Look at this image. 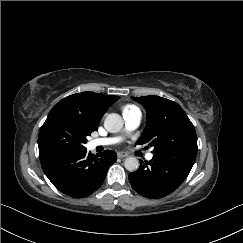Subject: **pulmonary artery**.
I'll use <instances>...</instances> for the list:
<instances>
[{"label":"pulmonary artery","instance_id":"obj_1","mask_svg":"<svg viewBox=\"0 0 243 243\" xmlns=\"http://www.w3.org/2000/svg\"><path fill=\"white\" fill-rule=\"evenodd\" d=\"M123 119L125 123V133H129L138 128L140 125L142 120V112L138 107L131 108L123 112ZM121 140V136L93 139L89 142V147L94 149L99 146H111L119 143ZM146 158L151 160L153 158V154L148 153Z\"/></svg>","mask_w":243,"mask_h":243}]
</instances>
